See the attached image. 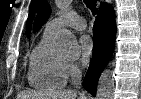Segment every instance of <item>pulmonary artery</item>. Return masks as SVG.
Listing matches in <instances>:
<instances>
[{
  "label": "pulmonary artery",
  "instance_id": "pulmonary-artery-1",
  "mask_svg": "<svg viewBox=\"0 0 141 99\" xmlns=\"http://www.w3.org/2000/svg\"><path fill=\"white\" fill-rule=\"evenodd\" d=\"M63 27L84 30L86 28V21L82 16L78 15L75 11L72 10L49 21L46 24L45 31L51 34H55Z\"/></svg>",
  "mask_w": 141,
  "mask_h": 99
}]
</instances>
